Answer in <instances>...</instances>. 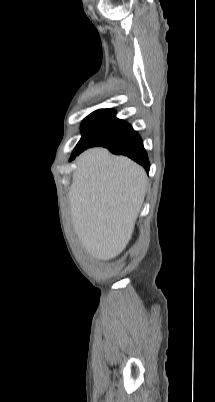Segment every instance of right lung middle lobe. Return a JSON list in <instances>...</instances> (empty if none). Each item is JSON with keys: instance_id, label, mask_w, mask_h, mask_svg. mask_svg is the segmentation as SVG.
<instances>
[{"instance_id": "dd1d6c3e", "label": "right lung middle lobe", "mask_w": 215, "mask_h": 402, "mask_svg": "<svg viewBox=\"0 0 215 402\" xmlns=\"http://www.w3.org/2000/svg\"><path fill=\"white\" fill-rule=\"evenodd\" d=\"M131 125L115 117L112 109H100L87 116L81 125L80 145L111 144L131 129Z\"/></svg>"}]
</instances>
